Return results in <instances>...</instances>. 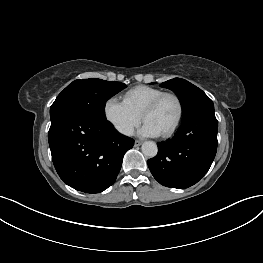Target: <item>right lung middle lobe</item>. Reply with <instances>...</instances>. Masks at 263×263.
<instances>
[{
	"instance_id": "right-lung-middle-lobe-1",
	"label": "right lung middle lobe",
	"mask_w": 263,
	"mask_h": 263,
	"mask_svg": "<svg viewBox=\"0 0 263 263\" xmlns=\"http://www.w3.org/2000/svg\"><path fill=\"white\" fill-rule=\"evenodd\" d=\"M126 87L120 82H109L97 78L75 80L56 98L50 108L54 121L64 114H83L105 119L106 101Z\"/></svg>"
}]
</instances>
